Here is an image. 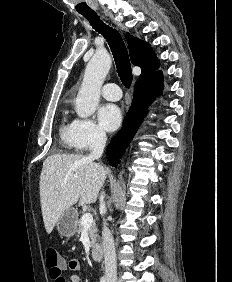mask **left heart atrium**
I'll return each mask as SVG.
<instances>
[{
    "label": "left heart atrium",
    "instance_id": "obj_1",
    "mask_svg": "<svg viewBox=\"0 0 232 282\" xmlns=\"http://www.w3.org/2000/svg\"><path fill=\"white\" fill-rule=\"evenodd\" d=\"M121 111L115 104H104L98 111V121L107 131H113L121 124Z\"/></svg>",
    "mask_w": 232,
    "mask_h": 282
}]
</instances>
